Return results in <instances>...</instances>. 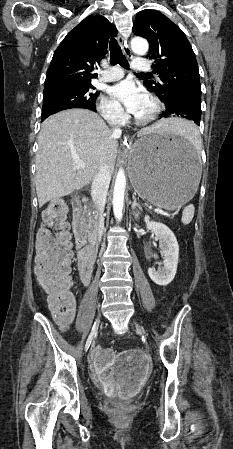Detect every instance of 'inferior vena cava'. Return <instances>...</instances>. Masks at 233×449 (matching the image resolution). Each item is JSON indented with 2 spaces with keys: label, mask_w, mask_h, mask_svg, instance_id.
<instances>
[{
  "label": "inferior vena cava",
  "mask_w": 233,
  "mask_h": 449,
  "mask_svg": "<svg viewBox=\"0 0 233 449\" xmlns=\"http://www.w3.org/2000/svg\"><path fill=\"white\" fill-rule=\"evenodd\" d=\"M112 134L114 137H120L121 129L119 127H114L112 130ZM110 180H111V172L108 167L107 161L104 159L103 163L99 167V170L92 181L91 186L92 200L97 208L98 213L97 234L99 239H101L104 230L103 210L106 204Z\"/></svg>",
  "instance_id": "obj_1"
}]
</instances>
